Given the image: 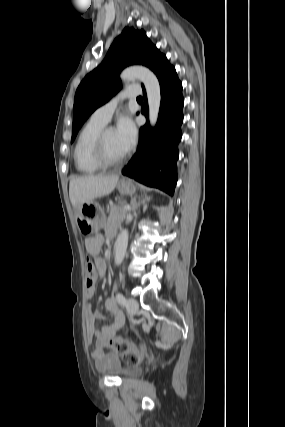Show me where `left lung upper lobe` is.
I'll return each mask as SVG.
<instances>
[{
  "instance_id": "1",
  "label": "left lung upper lobe",
  "mask_w": 285,
  "mask_h": 427,
  "mask_svg": "<svg viewBox=\"0 0 285 427\" xmlns=\"http://www.w3.org/2000/svg\"><path fill=\"white\" fill-rule=\"evenodd\" d=\"M163 57L143 30L126 27L112 43L103 62L83 79L76 91L71 142L90 114L120 90L122 69L141 64L154 71Z\"/></svg>"
}]
</instances>
